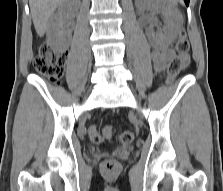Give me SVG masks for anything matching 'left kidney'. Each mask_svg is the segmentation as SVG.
I'll list each match as a JSON object with an SVG mask.
<instances>
[{
    "instance_id": "obj_1",
    "label": "left kidney",
    "mask_w": 223,
    "mask_h": 191,
    "mask_svg": "<svg viewBox=\"0 0 223 191\" xmlns=\"http://www.w3.org/2000/svg\"><path fill=\"white\" fill-rule=\"evenodd\" d=\"M136 5L139 9L152 8L162 14L164 25L153 31L152 27L148 28L150 40L160 46H169L182 25L181 14L171 4L163 0H137Z\"/></svg>"
}]
</instances>
